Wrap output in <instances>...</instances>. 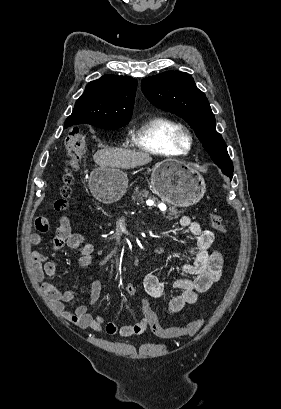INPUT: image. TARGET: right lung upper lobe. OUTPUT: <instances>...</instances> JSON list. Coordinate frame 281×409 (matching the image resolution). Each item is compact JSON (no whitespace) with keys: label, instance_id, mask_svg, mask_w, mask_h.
I'll return each mask as SVG.
<instances>
[{"label":"right lung upper lobe","instance_id":"1","mask_svg":"<svg viewBox=\"0 0 281 409\" xmlns=\"http://www.w3.org/2000/svg\"><path fill=\"white\" fill-rule=\"evenodd\" d=\"M137 81L128 76L105 75L90 82L76 101L64 127L77 124H124L132 116Z\"/></svg>","mask_w":281,"mask_h":409}]
</instances>
